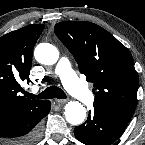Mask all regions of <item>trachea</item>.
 Instances as JSON below:
<instances>
[{
    "mask_svg": "<svg viewBox=\"0 0 145 145\" xmlns=\"http://www.w3.org/2000/svg\"><path fill=\"white\" fill-rule=\"evenodd\" d=\"M26 95L30 98H40V99H53V98L66 99L67 98L63 90L57 86H50L38 95H33L31 93H27Z\"/></svg>",
    "mask_w": 145,
    "mask_h": 145,
    "instance_id": "3493384b",
    "label": "trachea"
}]
</instances>
